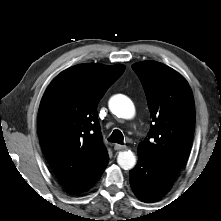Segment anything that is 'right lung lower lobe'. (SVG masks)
Instances as JSON below:
<instances>
[{
  "instance_id": "right-lung-lower-lobe-1",
  "label": "right lung lower lobe",
  "mask_w": 221,
  "mask_h": 221,
  "mask_svg": "<svg viewBox=\"0 0 221 221\" xmlns=\"http://www.w3.org/2000/svg\"><path fill=\"white\" fill-rule=\"evenodd\" d=\"M100 177H101V176H100ZM100 177H99V178H100ZM99 178H98L94 183H92L90 186H88V187H86L85 189H82V190H80V191H78V192H82V191H85V190L91 188V187L99 180Z\"/></svg>"
}]
</instances>
